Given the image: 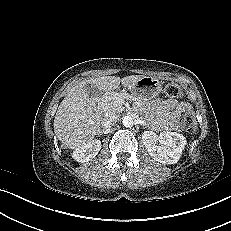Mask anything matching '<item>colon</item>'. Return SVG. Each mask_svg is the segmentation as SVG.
<instances>
[{
  "mask_svg": "<svg viewBox=\"0 0 231 231\" xmlns=\"http://www.w3.org/2000/svg\"><path fill=\"white\" fill-rule=\"evenodd\" d=\"M166 96L170 98H179L182 96L183 92L181 87L176 83H169L164 90ZM179 127L188 134H193L197 129V123L192 111L184 112L179 120Z\"/></svg>",
  "mask_w": 231,
  "mask_h": 231,
  "instance_id": "obj_1",
  "label": "colon"
}]
</instances>
